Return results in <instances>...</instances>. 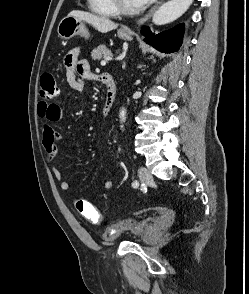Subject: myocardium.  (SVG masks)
Instances as JSON below:
<instances>
[{
  "label": "myocardium",
  "instance_id": "myocardium-1",
  "mask_svg": "<svg viewBox=\"0 0 249 294\" xmlns=\"http://www.w3.org/2000/svg\"><path fill=\"white\" fill-rule=\"evenodd\" d=\"M113 6L117 10L118 13L124 15H133L140 11V8H129L125 6L123 0H111Z\"/></svg>",
  "mask_w": 249,
  "mask_h": 294
}]
</instances>
